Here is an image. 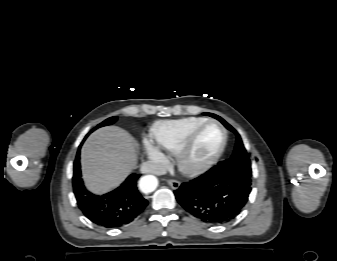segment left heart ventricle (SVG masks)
Returning <instances> with one entry per match:
<instances>
[{"label": "left heart ventricle", "instance_id": "obj_1", "mask_svg": "<svg viewBox=\"0 0 337 261\" xmlns=\"http://www.w3.org/2000/svg\"><path fill=\"white\" fill-rule=\"evenodd\" d=\"M222 141L221 130L216 125L205 127L197 136L190 151L188 162L199 164L211 157L219 148Z\"/></svg>", "mask_w": 337, "mask_h": 261}]
</instances>
